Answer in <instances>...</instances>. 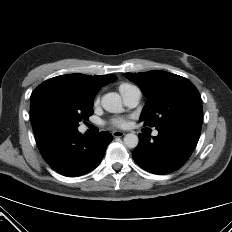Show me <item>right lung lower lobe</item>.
I'll list each match as a JSON object with an SVG mask.
<instances>
[{"instance_id": "98d812e1", "label": "right lung lower lobe", "mask_w": 232, "mask_h": 232, "mask_svg": "<svg viewBox=\"0 0 232 232\" xmlns=\"http://www.w3.org/2000/svg\"><path fill=\"white\" fill-rule=\"evenodd\" d=\"M35 135L44 160L57 172L69 177L80 176L96 168L112 141L109 132L86 138L78 130L52 129Z\"/></svg>"}]
</instances>
